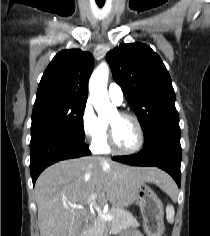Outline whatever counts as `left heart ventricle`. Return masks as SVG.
<instances>
[{
  "label": "left heart ventricle",
  "instance_id": "1",
  "mask_svg": "<svg viewBox=\"0 0 210 236\" xmlns=\"http://www.w3.org/2000/svg\"><path fill=\"white\" fill-rule=\"evenodd\" d=\"M109 123H111L114 130L115 142L121 149H132L136 146L138 131L133 120L120 117L116 113L109 119Z\"/></svg>",
  "mask_w": 210,
  "mask_h": 236
}]
</instances>
